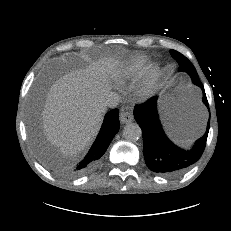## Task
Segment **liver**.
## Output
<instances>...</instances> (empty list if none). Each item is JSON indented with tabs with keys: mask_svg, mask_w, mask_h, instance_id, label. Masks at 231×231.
Masks as SVG:
<instances>
[{
	"mask_svg": "<svg viewBox=\"0 0 231 231\" xmlns=\"http://www.w3.org/2000/svg\"><path fill=\"white\" fill-rule=\"evenodd\" d=\"M119 67L117 60L101 58L65 74L50 87L41 113L43 128L64 156L77 155L94 141L106 112L110 80L120 73Z\"/></svg>",
	"mask_w": 231,
	"mask_h": 231,
	"instance_id": "liver-1",
	"label": "liver"
}]
</instances>
